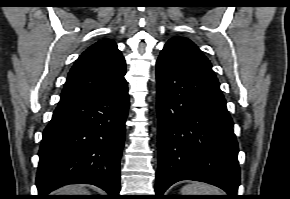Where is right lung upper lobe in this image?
<instances>
[{
	"instance_id": "obj_1",
	"label": "right lung upper lobe",
	"mask_w": 290,
	"mask_h": 199,
	"mask_svg": "<svg viewBox=\"0 0 290 199\" xmlns=\"http://www.w3.org/2000/svg\"><path fill=\"white\" fill-rule=\"evenodd\" d=\"M125 60L110 39L90 46L71 68L58 105L92 98L122 86Z\"/></svg>"
}]
</instances>
